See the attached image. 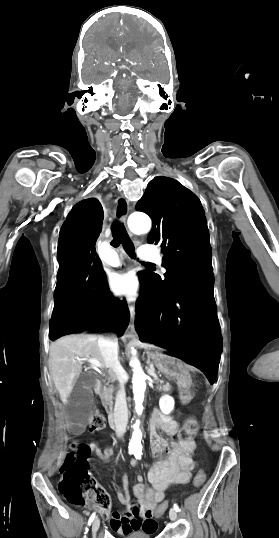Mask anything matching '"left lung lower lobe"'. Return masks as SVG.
<instances>
[{
	"instance_id": "left-lung-lower-lobe-1",
	"label": "left lung lower lobe",
	"mask_w": 279,
	"mask_h": 538,
	"mask_svg": "<svg viewBox=\"0 0 279 538\" xmlns=\"http://www.w3.org/2000/svg\"><path fill=\"white\" fill-rule=\"evenodd\" d=\"M213 274L199 276L154 296L141 285L136 329L141 338L189 360L214 383L220 361L221 335L213 294ZM146 310L148 305L156 304Z\"/></svg>"
}]
</instances>
